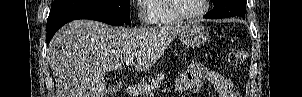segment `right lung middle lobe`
<instances>
[{"label":"right lung middle lobe","instance_id":"right-lung-middle-lobe-1","mask_svg":"<svg viewBox=\"0 0 302 97\" xmlns=\"http://www.w3.org/2000/svg\"><path fill=\"white\" fill-rule=\"evenodd\" d=\"M106 12L130 25V0H54L49 17L77 10Z\"/></svg>","mask_w":302,"mask_h":97}]
</instances>
